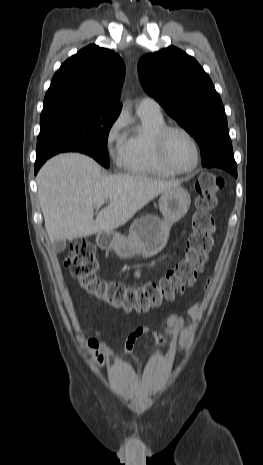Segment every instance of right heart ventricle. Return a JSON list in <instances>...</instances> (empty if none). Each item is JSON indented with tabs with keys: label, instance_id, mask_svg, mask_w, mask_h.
Here are the masks:
<instances>
[{
	"label": "right heart ventricle",
	"instance_id": "right-heart-ventricle-1",
	"mask_svg": "<svg viewBox=\"0 0 263 465\" xmlns=\"http://www.w3.org/2000/svg\"><path fill=\"white\" fill-rule=\"evenodd\" d=\"M141 124L127 135L124 168L132 174L169 177L174 173L158 161L154 135L166 125L162 115L138 113Z\"/></svg>",
	"mask_w": 263,
	"mask_h": 465
}]
</instances>
